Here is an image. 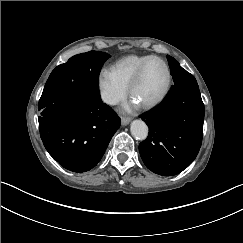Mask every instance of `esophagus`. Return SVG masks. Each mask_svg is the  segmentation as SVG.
<instances>
[{"mask_svg": "<svg viewBox=\"0 0 243 243\" xmlns=\"http://www.w3.org/2000/svg\"><path fill=\"white\" fill-rule=\"evenodd\" d=\"M130 121H131V118H122L121 119V124L123 126H126V125H128L130 123Z\"/></svg>", "mask_w": 243, "mask_h": 243, "instance_id": "esophagus-1", "label": "esophagus"}]
</instances>
